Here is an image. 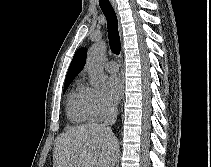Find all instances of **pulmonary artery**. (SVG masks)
<instances>
[{"label": "pulmonary artery", "mask_w": 211, "mask_h": 167, "mask_svg": "<svg viewBox=\"0 0 211 167\" xmlns=\"http://www.w3.org/2000/svg\"><path fill=\"white\" fill-rule=\"evenodd\" d=\"M105 68L111 74H116L119 70L118 64L115 61H109Z\"/></svg>", "instance_id": "e3ab8cb5"}]
</instances>
